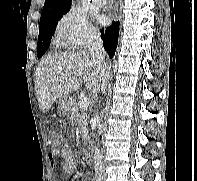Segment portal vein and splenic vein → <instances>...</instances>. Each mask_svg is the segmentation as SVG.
Segmentation results:
<instances>
[{
	"instance_id": "18ae733b",
	"label": "portal vein and splenic vein",
	"mask_w": 197,
	"mask_h": 181,
	"mask_svg": "<svg viewBox=\"0 0 197 181\" xmlns=\"http://www.w3.org/2000/svg\"><path fill=\"white\" fill-rule=\"evenodd\" d=\"M74 78V77H73ZM89 99L88 97H83L80 102V108L83 110H87L89 107Z\"/></svg>"
}]
</instances>
